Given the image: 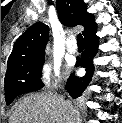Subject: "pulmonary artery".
Segmentation results:
<instances>
[{
	"instance_id": "pulmonary-artery-1",
	"label": "pulmonary artery",
	"mask_w": 122,
	"mask_h": 123,
	"mask_svg": "<svg viewBox=\"0 0 122 123\" xmlns=\"http://www.w3.org/2000/svg\"><path fill=\"white\" fill-rule=\"evenodd\" d=\"M67 50L71 54H75L78 50L76 41L74 37H70L68 42H67Z\"/></svg>"
}]
</instances>
